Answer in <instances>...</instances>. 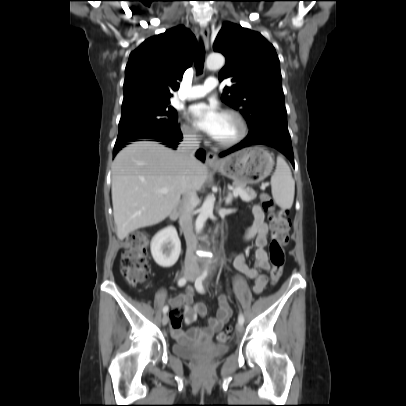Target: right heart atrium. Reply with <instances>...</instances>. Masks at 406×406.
Here are the masks:
<instances>
[{
    "label": "right heart atrium",
    "instance_id": "d8ad5b80",
    "mask_svg": "<svg viewBox=\"0 0 406 406\" xmlns=\"http://www.w3.org/2000/svg\"><path fill=\"white\" fill-rule=\"evenodd\" d=\"M180 131L184 139L188 141H198L200 139L198 132L186 122L181 123Z\"/></svg>",
    "mask_w": 406,
    "mask_h": 406
}]
</instances>
